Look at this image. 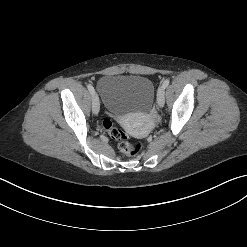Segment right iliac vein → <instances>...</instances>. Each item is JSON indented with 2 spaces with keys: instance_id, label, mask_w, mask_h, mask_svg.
<instances>
[{
  "instance_id": "1",
  "label": "right iliac vein",
  "mask_w": 247,
  "mask_h": 247,
  "mask_svg": "<svg viewBox=\"0 0 247 247\" xmlns=\"http://www.w3.org/2000/svg\"><path fill=\"white\" fill-rule=\"evenodd\" d=\"M99 109H100V102H99V98L96 95V93H94L93 95V99H92V111L95 115H97L99 113Z\"/></svg>"
}]
</instances>
